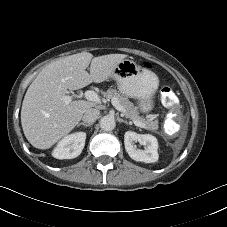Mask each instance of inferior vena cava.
Here are the masks:
<instances>
[{
	"label": "inferior vena cava",
	"instance_id": "602c4592",
	"mask_svg": "<svg viewBox=\"0 0 227 227\" xmlns=\"http://www.w3.org/2000/svg\"><path fill=\"white\" fill-rule=\"evenodd\" d=\"M99 115V110L90 108L85 111L82 120L87 124H93L98 119Z\"/></svg>",
	"mask_w": 227,
	"mask_h": 227
}]
</instances>
